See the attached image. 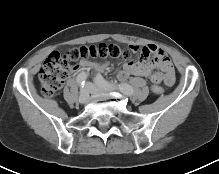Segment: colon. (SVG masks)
Masks as SVG:
<instances>
[{
    "label": "colon",
    "mask_w": 219,
    "mask_h": 174,
    "mask_svg": "<svg viewBox=\"0 0 219 174\" xmlns=\"http://www.w3.org/2000/svg\"><path fill=\"white\" fill-rule=\"evenodd\" d=\"M130 55V49L122 48L114 43L83 46L64 53L53 52L39 72L41 90L45 96L55 95L62 88L75 62L106 57L129 59ZM151 91L154 95L159 96L163 93V87L154 84Z\"/></svg>",
    "instance_id": "obj_1"
}]
</instances>
